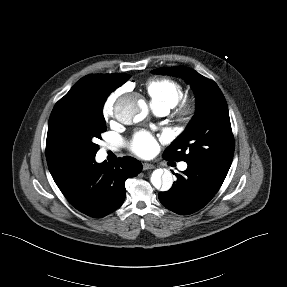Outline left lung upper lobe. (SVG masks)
Returning a JSON list of instances; mask_svg holds the SVG:
<instances>
[{"mask_svg": "<svg viewBox=\"0 0 287 287\" xmlns=\"http://www.w3.org/2000/svg\"><path fill=\"white\" fill-rule=\"evenodd\" d=\"M152 72L184 78L197 98L195 116L186 130L166 148L163 158L202 165L226 177L233 159L234 138L228 106L217 84L185 66L161 67Z\"/></svg>", "mask_w": 287, "mask_h": 287, "instance_id": "left-lung-upper-lobe-1", "label": "left lung upper lobe"}]
</instances>
